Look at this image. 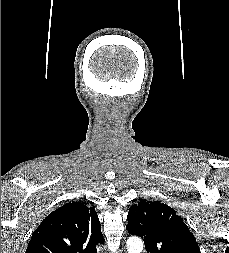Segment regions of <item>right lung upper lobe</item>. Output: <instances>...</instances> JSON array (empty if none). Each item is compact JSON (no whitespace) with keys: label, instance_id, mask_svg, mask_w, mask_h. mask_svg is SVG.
Masks as SVG:
<instances>
[{"label":"right lung upper lobe","instance_id":"1","mask_svg":"<svg viewBox=\"0 0 229 253\" xmlns=\"http://www.w3.org/2000/svg\"><path fill=\"white\" fill-rule=\"evenodd\" d=\"M104 238L95 209L70 202L51 212L33 232L25 253H97Z\"/></svg>","mask_w":229,"mask_h":253}]
</instances>
